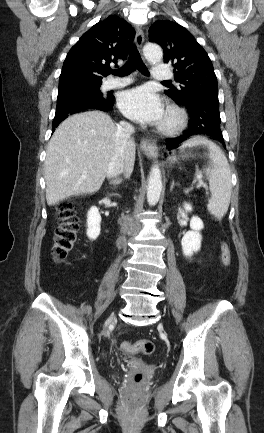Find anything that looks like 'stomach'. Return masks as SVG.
<instances>
[{
    "mask_svg": "<svg viewBox=\"0 0 264 433\" xmlns=\"http://www.w3.org/2000/svg\"><path fill=\"white\" fill-rule=\"evenodd\" d=\"M168 162H169V164L175 163L176 162V157L172 156V157L168 158Z\"/></svg>",
    "mask_w": 264,
    "mask_h": 433,
    "instance_id": "1",
    "label": "stomach"
}]
</instances>
